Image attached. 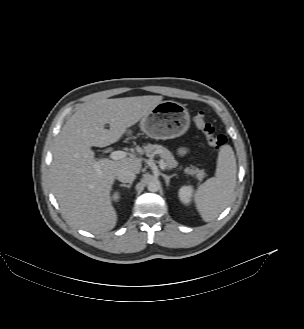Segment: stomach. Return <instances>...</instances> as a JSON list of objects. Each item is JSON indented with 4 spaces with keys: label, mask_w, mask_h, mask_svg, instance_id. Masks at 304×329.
Listing matches in <instances>:
<instances>
[{
    "label": "stomach",
    "mask_w": 304,
    "mask_h": 329,
    "mask_svg": "<svg viewBox=\"0 0 304 329\" xmlns=\"http://www.w3.org/2000/svg\"><path fill=\"white\" fill-rule=\"evenodd\" d=\"M189 125L186 107L175 101H161L140 122L141 130L147 136L162 140L183 135Z\"/></svg>",
    "instance_id": "0dacf381"
}]
</instances>
